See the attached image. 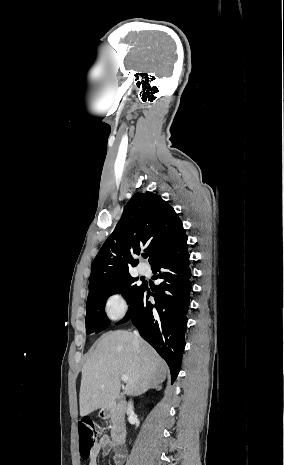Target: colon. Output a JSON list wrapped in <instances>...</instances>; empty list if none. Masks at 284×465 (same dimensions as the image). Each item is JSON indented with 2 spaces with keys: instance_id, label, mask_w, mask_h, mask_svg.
Segmentation results:
<instances>
[{
  "instance_id": "5ec220e1",
  "label": "colon",
  "mask_w": 284,
  "mask_h": 465,
  "mask_svg": "<svg viewBox=\"0 0 284 465\" xmlns=\"http://www.w3.org/2000/svg\"><path fill=\"white\" fill-rule=\"evenodd\" d=\"M78 434L80 440V457L88 460L91 456L92 448L97 439V431L91 422H80L78 424Z\"/></svg>"
}]
</instances>
